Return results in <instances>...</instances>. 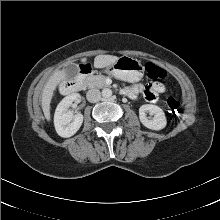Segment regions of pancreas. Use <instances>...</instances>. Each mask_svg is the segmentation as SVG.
Here are the masks:
<instances>
[{
  "mask_svg": "<svg viewBox=\"0 0 220 220\" xmlns=\"http://www.w3.org/2000/svg\"><path fill=\"white\" fill-rule=\"evenodd\" d=\"M106 78H107V76H105V75H92V76H88L84 80V84L88 88H103V87L107 86Z\"/></svg>",
  "mask_w": 220,
  "mask_h": 220,
  "instance_id": "1",
  "label": "pancreas"
}]
</instances>
